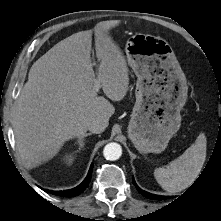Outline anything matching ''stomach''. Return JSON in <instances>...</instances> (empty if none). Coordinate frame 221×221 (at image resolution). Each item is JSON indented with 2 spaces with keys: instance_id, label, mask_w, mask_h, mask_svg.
<instances>
[{
  "instance_id": "0dacf381",
  "label": "stomach",
  "mask_w": 221,
  "mask_h": 221,
  "mask_svg": "<svg viewBox=\"0 0 221 221\" xmlns=\"http://www.w3.org/2000/svg\"><path fill=\"white\" fill-rule=\"evenodd\" d=\"M125 52L137 76L128 136L140 153H161L181 125L186 76L172 47L160 37L135 34Z\"/></svg>"
}]
</instances>
